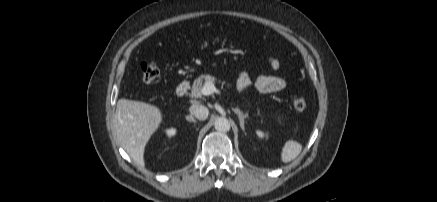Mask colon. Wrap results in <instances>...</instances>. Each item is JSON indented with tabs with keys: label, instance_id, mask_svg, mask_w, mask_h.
Returning a JSON list of instances; mask_svg holds the SVG:
<instances>
[{
	"label": "colon",
	"instance_id": "obj_1",
	"mask_svg": "<svg viewBox=\"0 0 437 202\" xmlns=\"http://www.w3.org/2000/svg\"><path fill=\"white\" fill-rule=\"evenodd\" d=\"M142 79L145 83H152L159 76V68L156 64L150 62H143L141 64ZM293 108L301 112L306 109L307 101L303 97H297L292 102Z\"/></svg>",
	"mask_w": 437,
	"mask_h": 202
}]
</instances>
